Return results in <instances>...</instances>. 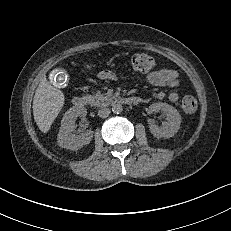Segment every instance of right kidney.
Returning <instances> with one entry per match:
<instances>
[{
    "label": "right kidney",
    "instance_id": "ca27d5eb",
    "mask_svg": "<svg viewBox=\"0 0 231 231\" xmlns=\"http://www.w3.org/2000/svg\"><path fill=\"white\" fill-rule=\"evenodd\" d=\"M87 111L85 108H70L65 114L61 121V127L57 137L58 145L62 148L70 150H78L84 145H88L93 138V131L88 130L85 133L79 135H72L71 133L75 128V121L77 117H85Z\"/></svg>",
    "mask_w": 231,
    "mask_h": 231
}]
</instances>
